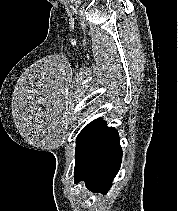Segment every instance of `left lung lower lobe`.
I'll use <instances>...</instances> for the list:
<instances>
[{
  "label": "left lung lower lobe",
  "instance_id": "left-lung-lower-lobe-1",
  "mask_svg": "<svg viewBox=\"0 0 178 211\" xmlns=\"http://www.w3.org/2000/svg\"><path fill=\"white\" fill-rule=\"evenodd\" d=\"M75 158V183L85 181L93 192H108L122 160L117 130L98 119L76 147Z\"/></svg>",
  "mask_w": 178,
  "mask_h": 211
}]
</instances>
